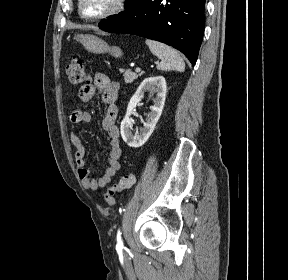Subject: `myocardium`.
Segmentation results:
<instances>
[{"label": "myocardium", "instance_id": "1", "mask_svg": "<svg viewBox=\"0 0 288 280\" xmlns=\"http://www.w3.org/2000/svg\"><path fill=\"white\" fill-rule=\"evenodd\" d=\"M83 3L84 0H78L77 2V9L79 16L86 21H99L120 13L125 7L126 0H114L112 6L109 9L94 16H88L84 14L82 9Z\"/></svg>", "mask_w": 288, "mask_h": 280}]
</instances>
